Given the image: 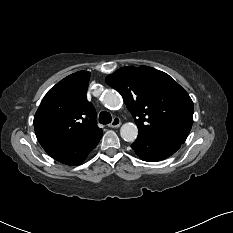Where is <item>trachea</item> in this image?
Returning a JSON list of instances; mask_svg holds the SVG:
<instances>
[{"label": "trachea", "mask_w": 233, "mask_h": 233, "mask_svg": "<svg viewBox=\"0 0 233 233\" xmlns=\"http://www.w3.org/2000/svg\"><path fill=\"white\" fill-rule=\"evenodd\" d=\"M112 121V117L110 115V113L106 112V111H102L99 114V122L101 124H108Z\"/></svg>", "instance_id": "3493384b"}]
</instances>
